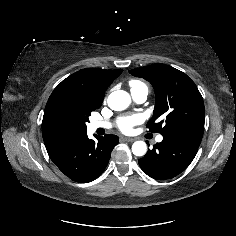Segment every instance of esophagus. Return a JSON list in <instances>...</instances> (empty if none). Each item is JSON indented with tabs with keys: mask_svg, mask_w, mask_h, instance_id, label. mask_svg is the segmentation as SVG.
I'll use <instances>...</instances> for the list:
<instances>
[{
	"mask_svg": "<svg viewBox=\"0 0 236 236\" xmlns=\"http://www.w3.org/2000/svg\"><path fill=\"white\" fill-rule=\"evenodd\" d=\"M122 139L126 142H133L135 141V138H131V137H122Z\"/></svg>",
	"mask_w": 236,
	"mask_h": 236,
	"instance_id": "1",
	"label": "esophagus"
}]
</instances>
